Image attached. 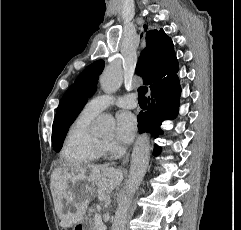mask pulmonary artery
I'll return each mask as SVG.
<instances>
[{
  "label": "pulmonary artery",
  "instance_id": "1",
  "mask_svg": "<svg viewBox=\"0 0 241 230\" xmlns=\"http://www.w3.org/2000/svg\"><path fill=\"white\" fill-rule=\"evenodd\" d=\"M119 106L123 108H135L137 106L136 98L133 94L125 96H115L111 94L97 95L87 102L84 110L92 113L99 114L110 106Z\"/></svg>",
  "mask_w": 241,
  "mask_h": 230
}]
</instances>
